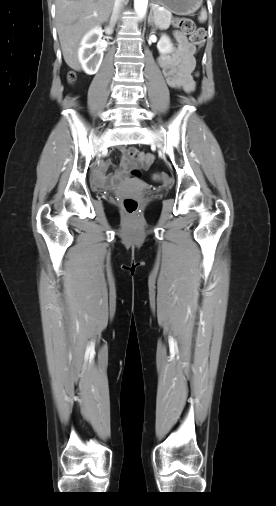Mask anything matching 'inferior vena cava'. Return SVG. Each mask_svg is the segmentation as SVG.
<instances>
[{"label":"inferior vena cava","mask_w":276,"mask_h":506,"mask_svg":"<svg viewBox=\"0 0 276 506\" xmlns=\"http://www.w3.org/2000/svg\"><path fill=\"white\" fill-rule=\"evenodd\" d=\"M122 1L123 0H115L114 2V8H113V14H112V17H111V23H115L116 21V18H117V13L121 7V4H122Z\"/></svg>","instance_id":"obj_1"}]
</instances>
